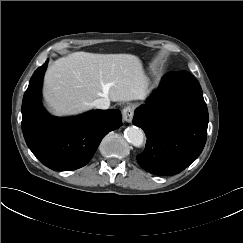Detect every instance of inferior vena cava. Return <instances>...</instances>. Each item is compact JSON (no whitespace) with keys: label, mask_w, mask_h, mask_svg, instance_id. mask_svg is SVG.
<instances>
[{"label":"inferior vena cava","mask_w":243,"mask_h":243,"mask_svg":"<svg viewBox=\"0 0 243 243\" xmlns=\"http://www.w3.org/2000/svg\"><path fill=\"white\" fill-rule=\"evenodd\" d=\"M94 106L97 108V109H108L109 106H110V101L109 99L107 98H99L97 100L94 101Z\"/></svg>","instance_id":"602c4592"}]
</instances>
